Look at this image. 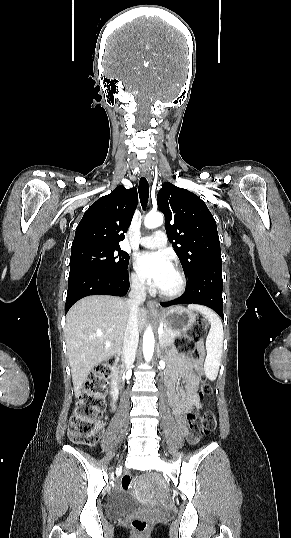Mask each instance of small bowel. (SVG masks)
<instances>
[{"label": "small bowel", "instance_id": "obj_1", "mask_svg": "<svg viewBox=\"0 0 291 538\" xmlns=\"http://www.w3.org/2000/svg\"><path fill=\"white\" fill-rule=\"evenodd\" d=\"M180 380L185 382L184 390L178 387ZM166 384L173 412L184 429V414L189 409L198 407L196 367L186 358L176 357L166 375ZM186 438L189 444L194 445L198 442V438L190 433H186Z\"/></svg>", "mask_w": 291, "mask_h": 538}]
</instances>
